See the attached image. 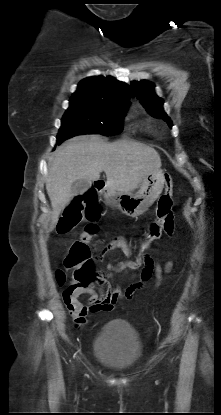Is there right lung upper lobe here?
I'll return each instance as SVG.
<instances>
[{
    "mask_svg": "<svg viewBox=\"0 0 221 415\" xmlns=\"http://www.w3.org/2000/svg\"><path fill=\"white\" fill-rule=\"evenodd\" d=\"M130 87L108 76H93L83 79L70 101L92 102L103 105L127 107V98L131 95Z\"/></svg>",
    "mask_w": 221,
    "mask_h": 415,
    "instance_id": "obj_1",
    "label": "right lung upper lobe"
}]
</instances>
